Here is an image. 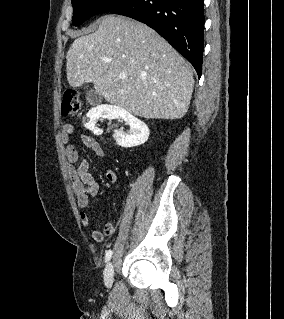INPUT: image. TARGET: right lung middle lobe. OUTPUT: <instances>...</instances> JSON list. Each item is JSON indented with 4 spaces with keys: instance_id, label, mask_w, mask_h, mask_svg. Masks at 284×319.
Here are the masks:
<instances>
[{
    "instance_id": "obj_1",
    "label": "right lung middle lobe",
    "mask_w": 284,
    "mask_h": 319,
    "mask_svg": "<svg viewBox=\"0 0 284 319\" xmlns=\"http://www.w3.org/2000/svg\"><path fill=\"white\" fill-rule=\"evenodd\" d=\"M74 8L73 25L78 26L90 17L111 11L130 0H71Z\"/></svg>"
}]
</instances>
